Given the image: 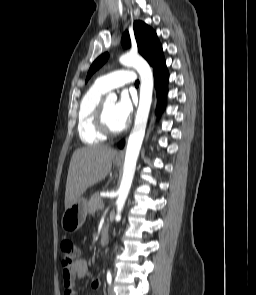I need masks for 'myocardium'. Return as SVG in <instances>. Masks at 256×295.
<instances>
[{"mask_svg": "<svg viewBox=\"0 0 256 295\" xmlns=\"http://www.w3.org/2000/svg\"><path fill=\"white\" fill-rule=\"evenodd\" d=\"M95 124L98 131L104 135L105 137H112L121 134L124 130V127L114 130L112 129L107 121H106V113H105V102L101 100L99 103L96 112H95Z\"/></svg>", "mask_w": 256, "mask_h": 295, "instance_id": "myocardium-1", "label": "myocardium"}]
</instances>
